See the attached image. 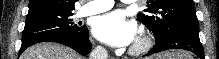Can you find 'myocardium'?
I'll return each mask as SVG.
<instances>
[{
  "mask_svg": "<svg viewBox=\"0 0 219 59\" xmlns=\"http://www.w3.org/2000/svg\"><path fill=\"white\" fill-rule=\"evenodd\" d=\"M152 46V39L148 35H141L133 44L130 52L133 55H140L147 52Z\"/></svg>",
  "mask_w": 219,
  "mask_h": 59,
  "instance_id": "1",
  "label": "myocardium"
}]
</instances>
